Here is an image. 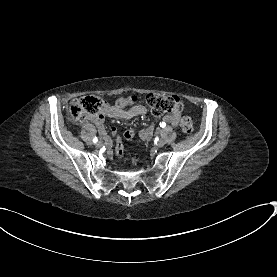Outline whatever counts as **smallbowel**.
<instances>
[{
    "label": "small bowel",
    "instance_id": "1",
    "mask_svg": "<svg viewBox=\"0 0 277 277\" xmlns=\"http://www.w3.org/2000/svg\"><path fill=\"white\" fill-rule=\"evenodd\" d=\"M147 114V108L144 105L137 104L131 107L128 110H122L117 106H112L108 103H103L102 109L99 113L92 115L89 117V120H91L93 123L96 124L98 131L101 135H103L102 141V149L105 156L110 157L113 154V150L111 148L112 146V140L110 136L106 135V128L104 125L105 118H116L120 119L124 122H128L132 118L138 117V116H144ZM164 122L172 125L177 126L179 123V115L178 114H169L164 116L163 118ZM153 125L148 126L146 129H143L139 132V136L143 140H149L153 135ZM111 134L116 135L119 132L118 127L113 126L110 129ZM124 137L127 140H130L134 138L135 133L134 129L131 126H127L124 129Z\"/></svg>",
    "mask_w": 277,
    "mask_h": 277
}]
</instances>
